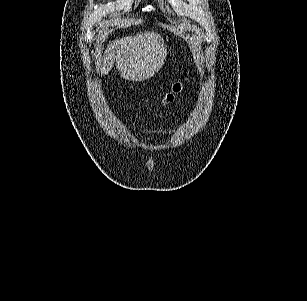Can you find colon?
<instances>
[{
  "label": "colon",
  "mask_w": 307,
  "mask_h": 301,
  "mask_svg": "<svg viewBox=\"0 0 307 301\" xmlns=\"http://www.w3.org/2000/svg\"><path fill=\"white\" fill-rule=\"evenodd\" d=\"M181 90V84L177 83L172 87V90L166 95L165 100L171 101L176 93Z\"/></svg>",
  "instance_id": "colon-1"
}]
</instances>
